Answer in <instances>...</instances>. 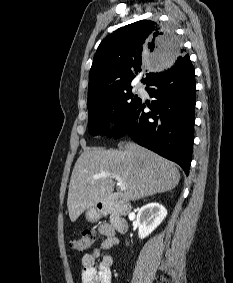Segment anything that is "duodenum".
Returning <instances> with one entry per match:
<instances>
[{
    "mask_svg": "<svg viewBox=\"0 0 233 283\" xmlns=\"http://www.w3.org/2000/svg\"><path fill=\"white\" fill-rule=\"evenodd\" d=\"M98 210L103 215H110V227L115 232H124L127 229L125 216L129 212V204L119 194H114L99 204Z\"/></svg>",
    "mask_w": 233,
    "mask_h": 283,
    "instance_id": "410a0bca",
    "label": "duodenum"
}]
</instances>
